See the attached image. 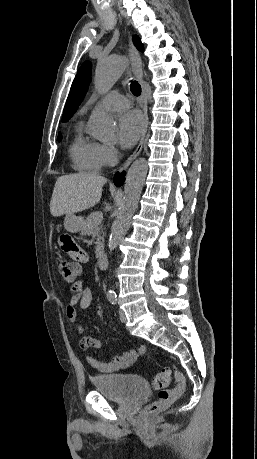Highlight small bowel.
<instances>
[{
  "mask_svg": "<svg viewBox=\"0 0 257 459\" xmlns=\"http://www.w3.org/2000/svg\"><path fill=\"white\" fill-rule=\"evenodd\" d=\"M58 247L68 258L69 264H88L89 256L87 250L80 246L79 240L74 239L73 235H58ZM92 302L90 287L83 281H78L69 290V301L66 307V317L71 322L73 329L81 335L79 348L83 351L94 348L96 351L88 355V364L99 372L110 373L122 368H126L136 362L145 353V347L130 349L122 356L104 361L97 358V350L101 347V341L84 334V328L78 319L77 307L81 310L87 309Z\"/></svg>",
  "mask_w": 257,
  "mask_h": 459,
  "instance_id": "1",
  "label": "small bowel"
}]
</instances>
